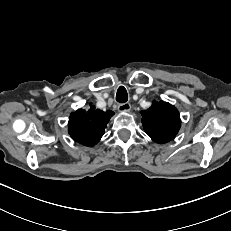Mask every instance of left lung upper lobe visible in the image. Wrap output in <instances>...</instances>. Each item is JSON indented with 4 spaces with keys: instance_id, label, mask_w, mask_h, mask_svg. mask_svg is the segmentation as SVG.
<instances>
[{
    "instance_id": "left-lung-upper-lobe-1",
    "label": "left lung upper lobe",
    "mask_w": 231,
    "mask_h": 231,
    "mask_svg": "<svg viewBox=\"0 0 231 231\" xmlns=\"http://www.w3.org/2000/svg\"><path fill=\"white\" fill-rule=\"evenodd\" d=\"M142 125L145 132L156 143L172 140L180 129L178 110L170 103L154 101L152 106L142 111Z\"/></svg>"
}]
</instances>
